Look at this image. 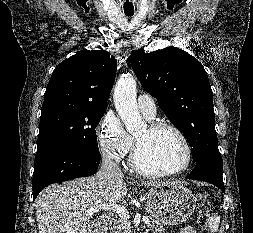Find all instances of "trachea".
Returning a JSON list of instances; mask_svg holds the SVG:
<instances>
[{
	"mask_svg": "<svg viewBox=\"0 0 253 233\" xmlns=\"http://www.w3.org/2000/svg\"><path fill=\"white\" fill-rule=\"evenodd\" d=\"M133 14H126V16H128V17H130V16H132Z\"/></svg>",
	"mask_w": 253,
	"mask_h": 233,
	"instance_id": "obj_1",
	"label": "trachea"
}]
</instances>
